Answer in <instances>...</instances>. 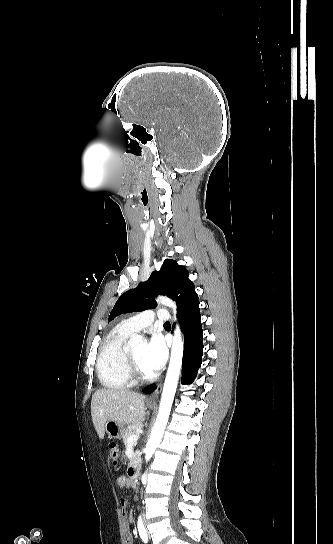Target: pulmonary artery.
Wrapping results in <instances>:
<instances>
[{
    "label": "pulmonary artery",
    "instance_id": "pulmonary-artery-1",
    "mask_svg": "<svg viewBox=\"0 0 333 544\" xmlns=\"http://www.w3.org/2000/svg\"><path fill=\"white\" fill-rule=\"evenodd\" d=\"M155 318L161 322H167L170 315L165 309H159L156 312L146 310L124 320L122 325L130 332H137L151 327Z\"/></svg>",
    "mask_w": 333,
    "mask_h": 544
}]
</instances>
